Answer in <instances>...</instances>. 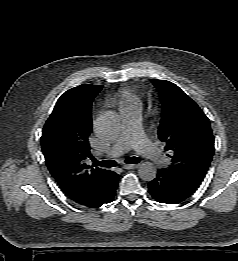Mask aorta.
Wrapping results in <instances>:
<instances>
[{
  "instance_id": "762f6f07",
  "label": "aorta",
  "mask_w": 238,
  "mask_h": 261,
  "mask_svg": "<svg viewBox=\"0 0 238 261\" xmlns=\"http://www.w3.org/2000/svg\"><path fill=\"white\" fill-rule=\"evenodd\" d=\"M96 132L103 138L114 139L120 130V118L114 112L101 115L96 121ZM139 177L144 181H152L157 174L156 167L151 162H143L138 169Z\"/></svg>"
}]
</instances>
